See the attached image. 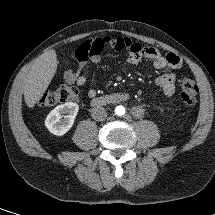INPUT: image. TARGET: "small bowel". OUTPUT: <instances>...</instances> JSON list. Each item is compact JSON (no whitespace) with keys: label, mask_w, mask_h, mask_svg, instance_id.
Wrapping results in <instances>:
<instances>
[{"label":"small bowel","mask_w":215,"mask_h":215,"mask_svg":"<svg viewBox=\"0 0 215 215\" xmlns=\"http://www.w3.org/2000/svg\"><path fill=\"white\" fill-rule=\"evenodd\" d=\"M105 48H111L117 51H127L128 62L131 64H139L143 61H148L152 66L161 70L166 67L170 69H179L182 66V60L175 53H168L162 55L154 47H142L139 43L134 42L129 37L113 38L105 36L101 38H93L81 44L74 52V59L77 61L75 69H67L64 72V79L68 84H75L76 86H83L88 79L90 71L87 70L82 73V70L87 61L96 65L101 60L102 52ZM176 75L167 71L162 73L156 79L157 86L162 90L167 98H170L175 93ZM97 94L95 88H89L87 95L94 98Z\"/></svg>","instance_id":"1"}]
</instances>
